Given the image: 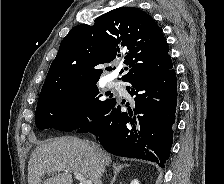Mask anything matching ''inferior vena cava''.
Here are the masks:
<instances>
[{
	"label": "inferior vena cava",
	"instance_id": "obj_1",
	"mask_svg": "<svg viewBox=\"0 0 224 184\" xmlns=\"http://www.w3.org/2000/svg\"><path fill=\"white\" fill-rule=\"evenodd\" d=\"M93 146L96 149L98 158L100 160V172H101V175H102V173H104V171H105V162H104V159L102 157V154L100 152L99 147L97 145H93Z\"/></svg>",
	"mask_w": 224,
	"mask_h": 184
}]
</instances>
